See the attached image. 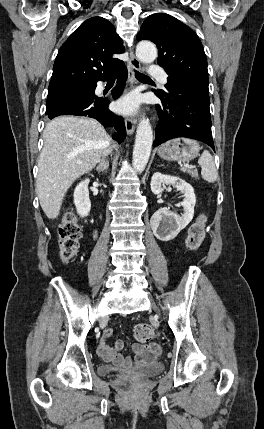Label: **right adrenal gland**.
<instances>
[{
    "instance_id": "right-adrenal-gland-1",
    "label": "right adrenal gland",
    "mask_w": 264,
    "mask_h": 429,
    "mask_svg": "<svg viewBox=\"0 0 264 429\" xmlns=\"http://www.w3.org/2000/svg\"><path fill=\"white\" fill-rule=\"evenodd\" d=\"M108 168H109V162H108V160L102 159L99 162L98 166L96 167V170H97L98 173H100V172H106L108 170Z\"/></svg>"
}]
</instances>
